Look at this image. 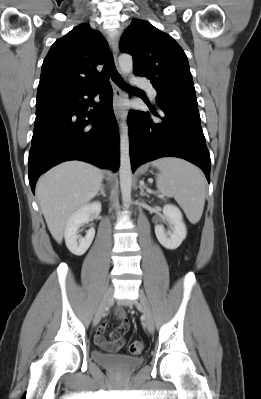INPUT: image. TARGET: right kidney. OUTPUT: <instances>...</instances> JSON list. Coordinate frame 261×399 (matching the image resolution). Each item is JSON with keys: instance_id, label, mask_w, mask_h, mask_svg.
Listing matches in <instances>:
<instances>
[{"instance_id": "obj_1", "label": "right kidney", "mask_w": 261, "mask_h": 399, "mask_svg": "<svg viewBox=\"0 0 261 399\" xmlns=\"http://www.w3.org/2000/svg\"><path fill=\"white\" fill-rule=\"evenodd\" d=\"M100 212L101 203L93 202L79 208L67 220L64 238L67 248L74 255H83L90 247L95 236V230L89 229L85 237L82 238L78 235V229L89 222L91 214H99Z\"/></svg>"}]
</instances>
